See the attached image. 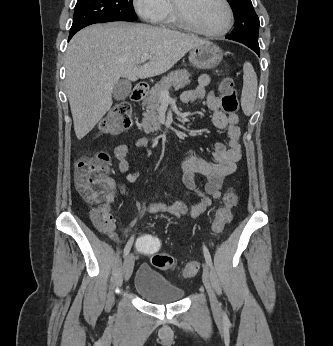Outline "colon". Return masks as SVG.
I'll use <instances>...</instances> for the list:
<instances>
[{"mask_svg": "<svg viewBox=\"0 0 333 346\" xmlns=\"http://www.w3.org/2000/svg\"><path fill=\"white\" fill-rule=\"evenodd\" d=\"M220 101L223 110L230 114L238 110V97L234 82L226 77L220 85ZM131 125V107L127 103H119L113 107L100 124V132L111 135L128 129ZM110 156L105 152H99L92 156L81 158L76 165L75 184L82 198L91 204H102L111 188V182L106 177L110 168ZM238 197L234 189L230 188L223 196V204L216 211L212 223L214 233H221L224 227L232 219V209L237 205ZM157 233L151 235H135L137 254L152 256L154 267L161 270L174 269L176 260L169 254L158 253L162 251ZM199 269L198 262H188L180 269V274L185 278L194 276Z\"/></svg>", "mask_w": 333, "mask_h": 346, "instance_id": "colon-1", "label": "colon"}]
</instances>
